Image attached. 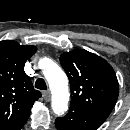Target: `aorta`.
Returning a JSON list of instances; mask_svg holds the SVG:
<instances>
[{
    "mask_svg": "<svg viewBox=\"0 0 130 130\" xmlns=\"http://www.w3.org/2000/svg\"><path fill=\"white\" fill-rule=\"evenodd\" d=\"M39 66L47 79L51 93V107L53 112L60 116L68 109L69 89L68 79L63 70L51 59L43 58L39 61Z\"/></svg>",
    "mask_w": 130,
    "mask_h": 130,
    "instance_id": "obj_1",
    "label": "aorta"
}]
</instances>
